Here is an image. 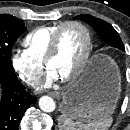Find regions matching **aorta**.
<instances>
[{"mask_svg": "<svg viewBox=\"0 0 130 130\" xmlns=\"http://www.w3.org/2000/svg\"><path fill=\"white\" fill-rule=\"evenodd\" d=\"M39 107L44 112H53L56 108L55 101L49 96H42L39 99Z\"/></svg>", "mask_w": 130, "mask_h": 130, "instance_id": "aorta-1", "label": "aorta"}]
</instances>
